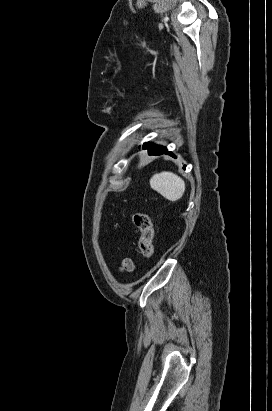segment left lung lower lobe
<instances>
[{"mask_svg": "<svg viewBox=\"0 0 272 411\" xmlns=\"http://www.w3.org/2000/svg\"><path fill=\"white\" fill-rule=\"evenodd\" d=\"M143 149H148L149 155H161V154H168L170 156L175 157L171 152H169L165 147L154 145L151 143H145L143 145ZM185 168V167H184Z\"/></svg>", "mask_w": 272, "mask_h": 411, "instance_id": "obj_1", "label": "left lung lower lobe"}]
</instances>
